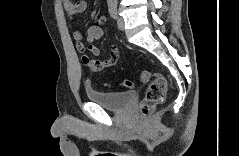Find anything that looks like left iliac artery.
Returning <instances> with one entry per match:
<instances>
[{
	"mask_svg": "<svg viewBox=\"0 0 239 156\" xmlns=\"http://www.w3.org/2000/svg\"><path fill=\"white\" fill-rule=\"evenodd\" d=\"M109 7V13L112 16V18H117V3L116 2H110L108 4Z\"/></svg>",
	"mask_w": 239,
	"mask_h": 156,
	"instance_id": "44dca946",
	"label": "left iliac artery"
}]
</instances>
